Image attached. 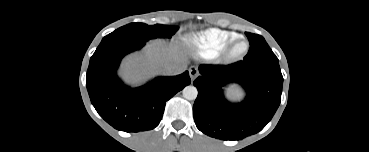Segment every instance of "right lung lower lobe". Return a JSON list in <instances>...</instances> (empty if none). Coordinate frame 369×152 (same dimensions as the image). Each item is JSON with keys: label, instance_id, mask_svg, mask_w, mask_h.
<instances>
[{"label": "right lung lower lobe", "instance_id": "right-lung-lower-lobe-1", "mask_svg": "<svg viewBox=\"0 0 369 152\" xmlns=\"http://www.w3.org/2000/svg\"><path fill=\"white\" fill-rule=\"evenodd\" d=\"M146 41L125 35L104 38L90 59L86 85L91 102L107 123L121 131L155 128L166 101L191 82L186 71L178 76L157 77L134 89L125 86L116 74L120 61Z\"/></svg>", "mask_w": 369, "mask_h": 152}]
</instances>
